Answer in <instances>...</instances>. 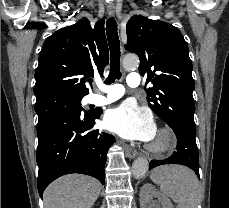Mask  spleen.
<instances>
[{
    "label": "spleen",
    "mask_w": 229,
    "mask_h": 208,
    "mask_svg": "<svg viewBox=\"0 0 229 208\" xmlns=\"http://www.w3.org/2000/svg\"><path fill=\"white\" fill-rule=\"evenodd\" d=\"M177 208H198L202 198L197 176L185 166H158L150 176Z\"/></svg>",
    "instance_id": "obj_1"
}]
</instances>
